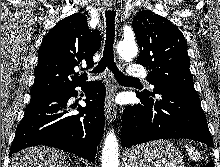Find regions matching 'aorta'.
<instances>
[{"mask_svg":"<svg viewBox=\"0 0 220 167\" xmlns=\"http://www.w3.org/2000/svg\"><path fill=\"white\" fill-rule=\"evenodd\" d=\"M118 54L125 60L131 61L136 57L138 48L133 38L124 39L118 43ZM102 167H118L119 166V150L117 138L114 131L109 132L106 136L102 149Z\"/></svg>","mask_w":220,"mask_h":167,"instance_id":"1","label":"aorta"}]
</instances>
